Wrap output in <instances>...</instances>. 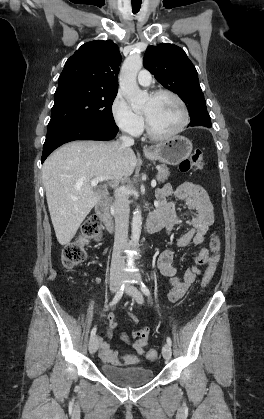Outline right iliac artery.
I'll return each mask as SVG.
<instances>
[{
  "mask_svg": "<svg viewBox=\"0 0 264 419\" xmlns=\"http://www.w3.org/2000/svg\"><path fill=\"white\" fill-rule=\"evenodd\" d=\"M123 293H124V285H122L121 288L117 291L116 295L114 296V298L110 302L109 306L115 305L121 299V297L123 296ZM96 330H97V328L95 326L91 331V334H90L91 338L93 336H95Z\"/></svg>",
  "mask_w": 264,
  "mask_h": 419,
  "instance_id": "obj_1",
  "label": "right iliac artery"
}]
</instances>
